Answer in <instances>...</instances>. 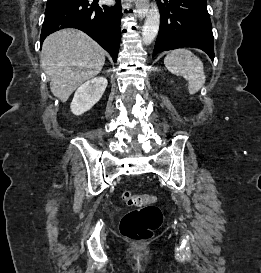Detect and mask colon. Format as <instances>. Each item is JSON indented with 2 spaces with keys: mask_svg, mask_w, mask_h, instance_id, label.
Returning <instances> with one entry per match:
<instances>
[{
  "mask_svg": "<svg viewBox=\"0 0 261 273\" xmlns=\"http://www.w3.org/2000/svg\"><path fill=\"white\" fill-rule=\"evenodd\" d=\"M122 198L127 205L138 207L123 216L120 223L122 236L132 241H142L151 237L163 219L161 210L155 206L156 196L151 194L137 195L125 190L122 193Z\"/></svg>",
  "mask_w": 261,
  "mask_h": 273,
  "instance_id": "1",
  "label": "colon"
}]
</instances>
